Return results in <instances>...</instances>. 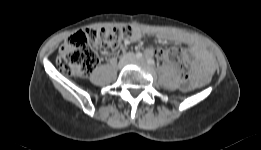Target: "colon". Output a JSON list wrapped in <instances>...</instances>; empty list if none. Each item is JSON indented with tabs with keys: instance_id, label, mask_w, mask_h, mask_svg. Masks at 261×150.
I'll list each match as a JSON object with an SVG mask.
<instances>
[{
	"instance_id": "1",
	"label": "colon",
	"mask_w": 261,
	"mask_h": 150,
	"mask_svg": "<svg viewBox=\"0 0 261 150\" xmlns=\"http://www.w3.org/2000/svg\"><path fill=\"white\" fill-rule=\"evenodd\" d=\"M132 34L130 26L78 31L63 43L56 64L68 75L86 77L97 66L100 53L116 50ZM155 52L160 58L173 63L182 77L189 75V61L180 49H158Z\"/></svg>"
}]
</instances>
